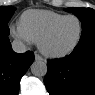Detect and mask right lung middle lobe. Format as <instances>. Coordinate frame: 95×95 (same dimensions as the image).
Instances as JSON below:
<instances>
[{
	"mask_svg": "<svg viewBox=\"0 0 95 95\" xmlns=\"http://www.w3.org/2000/svg\"><path fill=\"white\" fill-rule=\"evenodd\" d=\"M15 8L12 6H0V32L9 33L7 23L13 15Z\"/></svg>",
	"mask_w": 95,
	"mask_h": 95,
	"instance_id": "dd1d6c3e",
	"label": "right lung middle lobe"
}]
</instances>
